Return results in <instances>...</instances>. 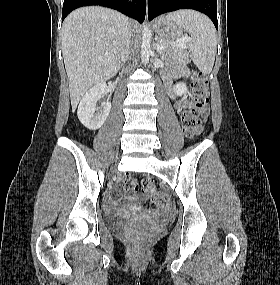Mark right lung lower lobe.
<instances>
[{
    "mask_svg": "<svg viewBox=\"0 0 280 285\" xmlns=\"http://www.w3.org/2000/svg\"><path fill=\"white\" fill-rule=\"evenodd\" d=\"M100 5L116 9L142 23L145 18V0H64L62 21L74 9L82 6Z\"/></svg>",
    "mask_w": 280,
    "mask_h": 285,
    "instance_id": "obj_1",
    "label": "right lung lower lobe"
}]
</instances>
